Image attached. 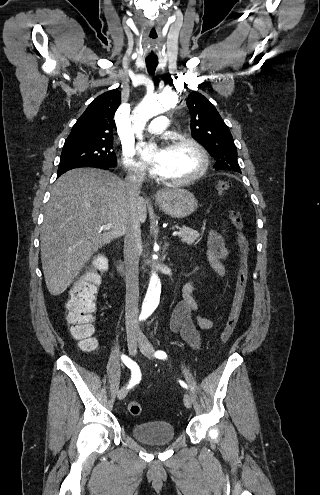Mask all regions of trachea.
<instances>
[{
  "label": "trachea",
  "mask_w": 320,
  "mask_h": 495,
  "mask_svg": "<svg viewBox=\"0 0 320 495\" xmlns=\"http://www.w3.org/2000/svg\"><path fill=\"white\" fill-rule=\"evenodd\" d=\"M157 65V60H146V67L150 74H153L155 72Z\"/></svg>",
  "instance_id": "trachea-1"
}]
</instances>
